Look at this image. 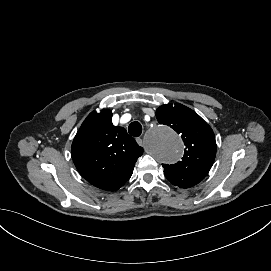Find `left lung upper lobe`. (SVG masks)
<instances>
[{"label":"left lung upper lobe","mask_w":271,"mask_h":271,"mask_svg":"<svg viewBox=\"0 0 271 271\" xmlns=\"http://www.w3.org/2000/svg\"><path fill=\"white\" fill-rule=\"evenodd\" d=\"M156 118L160 124L170 126L180 134L185 145L181 161L163 164L166 178L180 188L201 182L216 156L215 135L211 127L197 113L179 103L160 106Z\"/></svg>","instance_id":"obj_1"}]
</instances>
